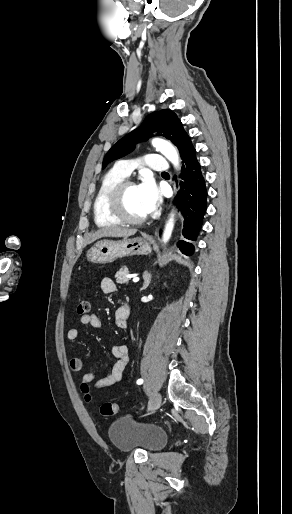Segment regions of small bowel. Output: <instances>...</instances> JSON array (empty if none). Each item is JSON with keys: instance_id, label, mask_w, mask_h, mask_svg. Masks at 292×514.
Here are the masks:
<instances>
[{"instance_id": "obj_1", "label": "small bowel", "mask_w": 292, "mask_h": 514, "mask_svg": "<svg viewBox=\"0 0 292 514\" xmlns=\"http://www.w3.org/2000/svg\"><path fill=\"white\" fill-rule=\"evenodd\" d=\"M101 290L106 294H114L117 291L115 282L105 277L100 283ZM115 326L120 330L128 327V312L124 305H119L114 311ZM82 325L90 326L93 329H100L102 321L97 314H88L80 318ZM80 336V330L76 327L70 328L67 332V338L70 341H76ZM112 354L116 358V362L111 366L108 373L101 379L95 381L96 374L94 372L84 373L81 377L82 384L94 383V388L101 389L113 386L123 379L124 370L129 362V349L125 344H118L112 348ZM70 369L75 372H81L85 369V362L79 357L72 358L69 362ZM95 381V382H94Z\"/></svg>"}]
</instances>
